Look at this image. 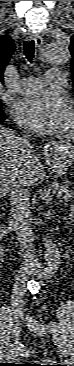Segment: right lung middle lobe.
Returning a JSON list of instances; mask_svg holds the SVG:
<instances>
[{
	"label": "right lung middle lobe",
	"mask_w": 74,
	"mask_h": 366,
	"mask_svg": "<svg viewBox=\"0 0 74 366\" xmlns=\"http://www.w3.org/2000/svg\"><path fill=\"white\" fill-rule=\"evenodd\" d=\"M3 115V112H2V109H1V106H0V117H2Z\"/></svg>",
	"instance_id": "1"
}]
</instances>
